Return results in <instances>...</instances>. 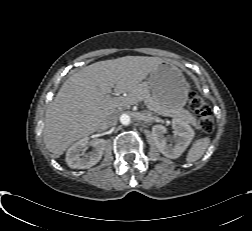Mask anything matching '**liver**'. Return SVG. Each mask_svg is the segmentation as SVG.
<instances>
[{
    "label": "liver",
    "instance_id": "liver-1",
    "mask_svg": "<svg viewBox=\"0 0 252 231\" xmlns=\"http://www.w3.org/2000/svg\"><path fill=\"white\" fill-rule=\"evenodd\" d=\"M162 62L159 57L125 56L93 63L71 75L46 109V148L60 156L72 143L96 132L121 105L104 100L112 88L131 94Z\"/></svg>",
    "mask_w": 252,
    "mask_h": 231
}]
</instances>
